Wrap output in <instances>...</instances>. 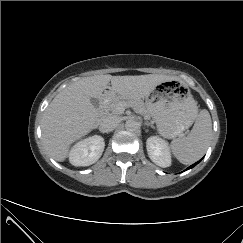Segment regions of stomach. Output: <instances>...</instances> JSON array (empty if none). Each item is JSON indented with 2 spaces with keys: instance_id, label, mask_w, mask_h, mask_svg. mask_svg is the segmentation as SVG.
<instances>
[{
  "instance_id": "obj_1",
  "label": "stomach",
  "mask_w": 243,
  "mask_h": 243,
  "mask_svg": "<svg viewBox=\"0 0 243 243\" xmlns=\"http://www.w3.org/2000/svg\"><path fill=\"white\" fill-rule=\"evenodd\" d=\"M145 98L147 112L155 121L159 133L166 138L181 135L196 118V102L183 83L165 81Z\"/></svg>"
}]
</instances>
